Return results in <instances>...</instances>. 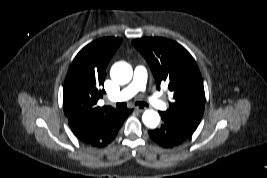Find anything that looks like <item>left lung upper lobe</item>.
Returning a JSON list of instances; mask_svg holds the SVG:
<instances>
[{
  "label": "left lung upper lobe",
  "instance_id": "5c2ea615",
  "mask_svg": "<svg viewBox=\"0 0 267 178\" xmlns=\"http://www.w3.org/2000/svg\"><path fill=\"white\" fill-rule=\"evenodd\" d=\"M132 44L148 62L157 88L166 84L173 92L169 109L161 114L193 134L205 106L203 80L194 58L183 46L166 38H140Z\"/></svg>",
  "mask_w": 267,
  "mask_h": 178
}]
</instances>
